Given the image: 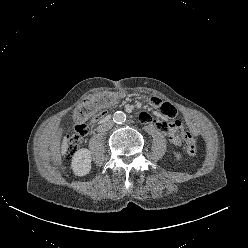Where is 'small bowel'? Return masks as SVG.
Returning <instances> with one entry per match:
<instances>
[{
  "label": "small bowel",
  "mask_w": 248,
  "mask_h": 248,
  "mask_svg": "<svg viewBox=\"0 0 248 248\" xmlns=\"http://www.w3.org/2000/svg\"><path fill=\"white\" fill-rule=\"evenodd\" d=\"M152 107L159 112V117L155 120V125L162 130L168 137L170 143L174 146H182L191 141H196L199 136V131L192 121L189 123V131H182L180 121H175L172 124H167V121H172L178 114L177 107L172 102H165L158 97L150 99ZM109 109H103L92 116V122H97L98 119L107 116ZM142 123H149L151 116L147 112H142L139 116Z\"/></svg>",
  "instance_id": "obj_1"
}]
</instances>
